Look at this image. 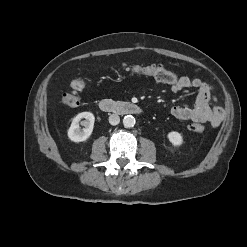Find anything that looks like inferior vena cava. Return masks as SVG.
<instances>
[{
	"label": "inferior vena cava",
	"mask_w": 247,
	"mask_h": 247,
	"mask_svg": "<svg viewBox=\"0 0 247 247\" xmlns=\"http://www.w3.org/2000/svg\"><path fill=\"white\" fill-rule=\"evenodd\" d=\"M120 122V117L117 114H112L109 116V123L111 125H117Z\"/></svg>",
	"instance_id": "602c4592"
}]
</instances>
